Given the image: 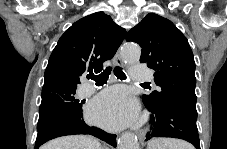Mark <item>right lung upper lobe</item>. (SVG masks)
<instances>
[{"mask_svg": "<svg viewBox=\"0 0 227 149\" xmlns=\"http://www.w3.org/2000/svg\"><path fill=\"white\" fill-rule=\"evenodd\" d=\"M126 35L125 29L104 12L75 22L60 37L44 75L43 88L55 84L76 85L85 71H101L113 58Z\"/></svg>", "mask_w": 227, "mask_h": 149, "instance_id": "cb5924a9", "label": "right lung upper lobe"}]
</instances>
